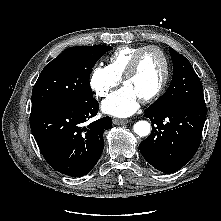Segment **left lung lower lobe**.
Segmentation results:
<instances>
[{"label":"left lung lower lobe","mask_w":221,"mask_h":221,"mask_svg":"<svg viewBox=\"0 0 221 221\" xmlns=\"http://www.w3.org/2000/svg\"><path fill=\"white\" fill-rule=\"evenodd\" d=\"M152 132L140 145V152L155 169L173 173L196 153L206 118V106H181L144 111Z\"/></svg>","instance_id":"left-lung-lower-lobe-1"}]
</instances>
